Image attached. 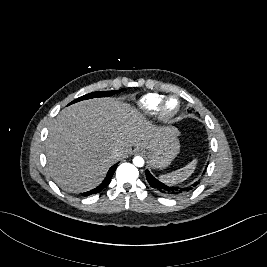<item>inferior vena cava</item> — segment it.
<instances>
[{"label": "inferior vena cava", "instance_id": "602c4592", "mask_svg": "<svg viewBox=\"0 0 267 267\" xmlns=\"http://www.w3.org/2000/svg\"><path fill=\"white\" fill-rule=\"evenodd\" d=\"M120 154H121V150H120V149L115 148V149L113 150V155H114L115 157H118Z\"/></svg>", "mask_w": 267, "mask_h": 267}]
</instances>
